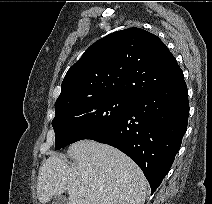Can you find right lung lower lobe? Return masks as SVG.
I'll list each match as a JSON object with an SVG mask.
<instances>
[{
    "label": "right lung lower lobe",
    "instance_id": "obj_1",
    "mask_svg": "<svg viewBox=\"0 0 212 204\" xmlns=\"http://www.w3.org/2000/svg\"><path fill=\"white\" fill-rule=\"evenodd\" d=\"M189 115L184 78L131 98L124 116L87 139L118 148L142 169L151 193L161 184L186 132Z\"/></svg>",
    "mask_w": 212,
    "mask_h": 204
}]
</instances>
